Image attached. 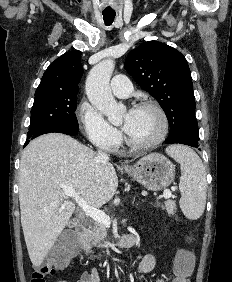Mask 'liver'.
<instances>
[{
    "label": "liver",
    "mask_w": 232,
    "mask_h": 282,
    "mask_svg": "<svg viewBox=\"0 0 232 282\" xmlns=\"http://www.w3.org/2000/svg\"><path fill=\"white\" fill-rule=\"evenodd\" d=\"M61 185L72 187L89 205L100 208L115 194L118 178L108 161L74 138L49 133L24 149L19 170L21 224L30 260L43 262L66 227L76 205Z\"/></svg>",
    "instance_id": "6515ba94"
}]
</instances>
